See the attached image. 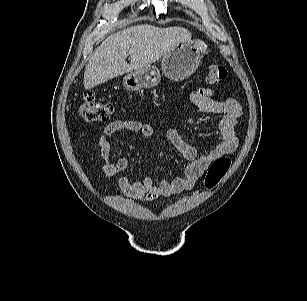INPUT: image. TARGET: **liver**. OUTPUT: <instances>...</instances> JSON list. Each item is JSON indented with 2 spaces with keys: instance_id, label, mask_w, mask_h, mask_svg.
<instances>
[{
  "instance_id": "6515ba94",
  "label": "liver",
  "mask_w": 307,
  "mask_h": 301,
  "mask_svg": "<svg viewBox=\"0 0 307 301\" xmlns=\"http://www.w3.org/2000/svg\"><path fill=\"white\" fill-rule=\"evenodd\" d=\"M190 39L191 33L183 27L158 28L147 24L114 33L89 59L84 72V88L92 89L119 75L151 65L176 44ZM129 55L130 64L126 62Z\"/></svg>"
}]
</instances>
